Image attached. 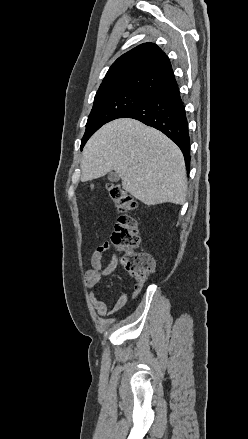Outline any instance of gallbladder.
<instances>
[{"instance_id":"gallbladder-1","label":"gallbladder","mask_w":248,"mask_h":439,"mask_svg":"<svg viewBox=\"0 0 248 439\" xmlns=\"http://www.w3.org/2000/svg\"><path fill=\"white\" fill-rule=\"evenodd\" d=\"M119 179H120V176L115 171H112L108 174V180L110 182H118Z\"/></svg>"}]
</instances>
